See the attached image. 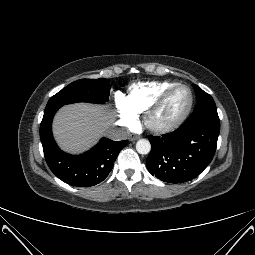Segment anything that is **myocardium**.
Listing matches in <instances>:
<instances>
[{"mask_svg":"<svg viewBox=\"0 0 255 255\" xmlns=\"http://www.w3.org/2000/svg\"><path fill=\"white\" fill-rule=\"evenodd\" d=\"M179 89H185L189 93V103L185 111L175 120L172 122L166 123V124H158L154 121V117L157 114V112L163 107L165 102L168 100V98L177 90ZM194 103V96L191 91V89L182 84H177L169 89H167L165 92H163L157 100L146 110L144 115V124L148 130H150L153 133L162 134V133H168L176 128H178L189 116L192 107Z\"/></svg>","mask_w":255,"mask_h":255,"instance_id":"1","label":"myocardium"}]
</instances>
